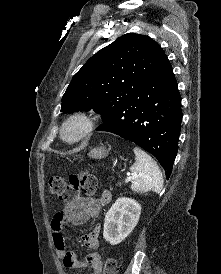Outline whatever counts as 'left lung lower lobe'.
Returning a JSON list of instances; mask_svg holds the SVG:
<instances>
[{"label": "left lung lower lobe", "mask_w": 221, "mask_h": 274, "mask_svg": "<svg viewBox=\"0 0 221 274\" xmlns=\"http://www.w3.org/2000/svg\"><path fill=\"white\" fill-rule=\"evenodd\" d=\"M97 130L130 140L153 154L167 179L177 154L182 120L181 96L166 58L145 80L141 91L102 117Z\"/></svg>", "instance_id": "left-lung-lower-lobe-1"}]
</instances>
